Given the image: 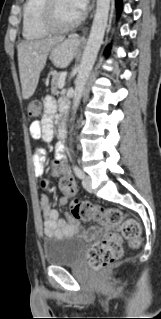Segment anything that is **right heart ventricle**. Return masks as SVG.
Segmentation results:
<instances>
[{
	"instance_id": "right-heart-ventricle-1",
	"label": "right heart ventricle",
	"mask_w": 161,
	"mask_h": 319,
	"mask_svg": "<svg viewBox=\"0 0 161 319\" xmlns=\"http://www.w3.org/2000/svg\"><path fill=\"white\" fill-rule=\"evenodd\" d=\"M44 0H26L23 9L22 35L26 40H37L48 35L40 17Z\"/></svg>"
}]
</instances>
